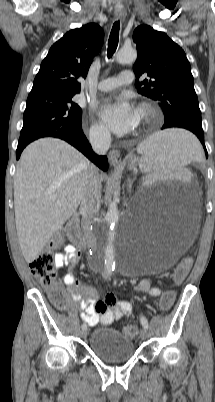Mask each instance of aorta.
<instances>
[{
    "instance_id": "762f6f07",
    "label": "aorta",
    "mask_w": 215,
    "mask_h": 402,
    "mask_svg": "<svg viewBox=\"0 0 215 402\" xmlns=\"http://www.w3.org/2000/svg\"><path fill=\"white\" fill-rule=\"evenodd\" d=\"M137 59V51L134 48H122L116 55V61L120 64L133 63ZM119 218V211L115 202L109 205L106 221L107 226L100 230V241L95 254L105 263L108 275H111L118 261V251L115 245V224Z\"/></svg>"
}]
</instances>
